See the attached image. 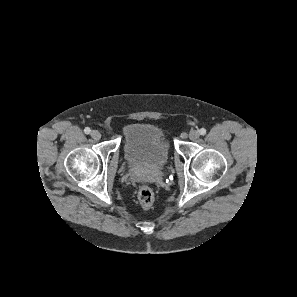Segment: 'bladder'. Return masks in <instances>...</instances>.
Returning a JSON list of instances; mask_svg holds the SVG:
<instances>
[{"label":"bladder","mask_w":297,"mask_h":297,"mask_svg":"<svg viewBox=\"0 0 297 297\" xmlns=\"http://www.w3.org/2000/svg\"><path fill=\"white\" fill-rule=\"evenodd\" d=\"M123 154L131 168L160 170L169 161V151L159 127L150 123H132L125 127Z\"/></svg>","instance_id":"bladder-1"}]
</instances>
